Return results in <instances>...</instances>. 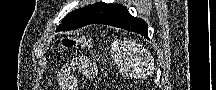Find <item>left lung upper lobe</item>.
<instances>
[{
  "label": "left lung upper lobe",
  "instance_id": "left-lung-upper-lobe-1",
  "mask_svg": "<svg viewBox=\"0 0 216 90\" xmlns=\"http://www.w3.org/2000/svg\"><path fill=\"white\" fill-rule=\"evenodd\" d=\"M121 5L107 4L99 2L83 8H79L69 13L60 24L56 31H70L77 28L93 24L105 17L109 13L121 8Z\"/></svg>",
  "mask_w": 216,
  "mask_h": 90
}]
</instances>
